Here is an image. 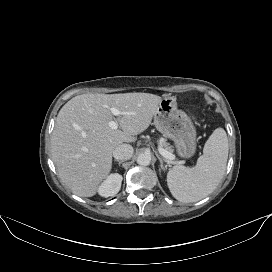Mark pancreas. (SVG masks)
<instances>
[{"label":"pancreas","instance_id":"1","mask_svg":"<svg viewBox=\"0 0 272 272\" xmlns=\"http://www.w3.org/2000/svg\"><path fill=\"white\" fill-rule=\"evenodd\" d=\"M161 146L166 151H168L170 153L173 152L172 146L168 142H166L165 139L161 140Z\"/></svg>","mask_w":272,"mask_h":272}]
</instances>
